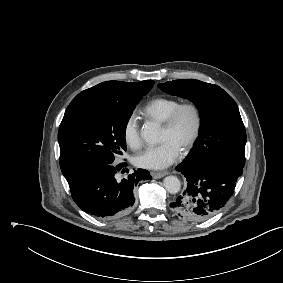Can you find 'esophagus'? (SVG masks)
<instances>
[{
  "instance_id": "1",
  "label": "esophagus",
  "mask_w": 283,
  "mask_h": 283,
  "mask_svg": "<svg viewBox=\"0 0 283 283\" xmlns=\"http://www.w3.org/2000/svg\"><path fill=\"white\" fill-rule=\"evenodd\" d=\"M165 175H167V172H153V173H152V177H153L154 179L162 178V177H164Z\"/></svg>"
}]
</instances>
